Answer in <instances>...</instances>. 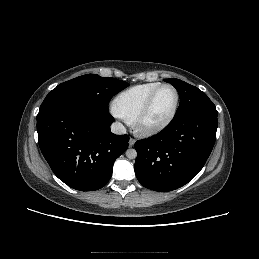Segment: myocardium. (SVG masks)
Wrapping results in <instances>:
<instances>
[{"label":"myocardium","mask_w":259,"mask_h":259,"mask_svg":"<svg viewBox=\"0 0 259 259\" xmlns=\"http://www.w3.org/2000/svg\"><path fill=\"white\" fill-rule=\"evenodd\" d=\"M163 88H170L173 90V92L175 94V102H174L173 108H172L171 112L169 113V115L162 121H160L156 124H148L147 119L150 114L155 97L158 94V92ZM179 101H180L179 93L173 85H171L169 83L160 84L150 94L144 107L142 108L141 112L137 116V118L134 122L136 131L140 135H143V136H152V135H156V134L160 133L161 131H163L175 118L177 111H178V107H179Z\"/></svg>","instance_id":"f54148a6"}]
</instances>
